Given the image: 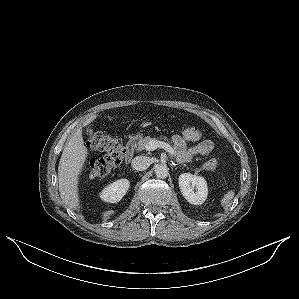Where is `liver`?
Wrapping results in <instances>:
<instances>
[{"instance_id": "6515ba94", "label": "liver", "mask_w": 299, "mask_h": 299, "mask_svg": "<svg viewBox=\"0 0 299 299\" xmlns=\"http://www.w3.org/2000/svg\"><path fill=\"white\" fill-rule=\"evenodd\" d=\"M96 115H92L85 122L84 126L90 124ZM88 150L84 146L82 128H78L64 148L59 166L58 181L60 197L65 206L72 210L79 211L78 180L83 170Z\"/></svg>"}]
</instances>
